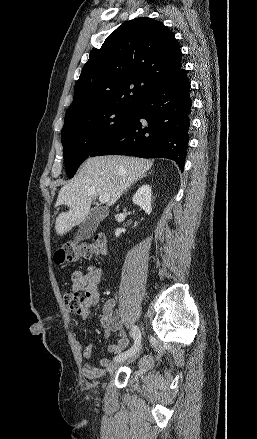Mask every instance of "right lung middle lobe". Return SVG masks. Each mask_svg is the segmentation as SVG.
<instances>
[{
	"mask_svg": "<svg viewBox=\"0 0 257 439\" xmlns=\"http://www.w3.org/2000/svg\"><path fill=\"white\" fill-rule=\"evenodd\" d=\"M136 108L105 107L65 120L61 133L66 173L72 178L90 153L125 125Z\"/></svg>",
	"mask_w": 257,
	"mask_h": 439,
	"instance_id": "dd1d6c3e",
	"label": "right lung middle lobe"
}]
</instances>
